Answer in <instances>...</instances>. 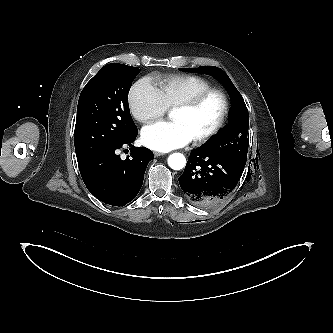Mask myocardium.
Listing matches in <instances>:
<instances>
[{"label":"myocardium","instance_id":"obj_1","mask_svg":"<svg viewBox=\"0 0 333 333\" xmlns=\"http://www.w3.org/2000/svg\"><path fill=\"white\" fill-rule=\"evenodd\" d=\"M212 95H217L221 98L222 103H223V109L222 113L220 115L219 120L217 123L214 125L212 129H210L207 133L203 134L200 137H197L193 139V144L196 146L203 145L207 143L209 140H211L213 137H215L225 126L228 115H229V110H230V103L228 96L226 93L220 89L217 88H210L207 90H204L192 98L176 105L173 110H194L198 106H200L207 98H209Z\"/></svg>","mask_w":333,"mask_h":333}]
</instances>
